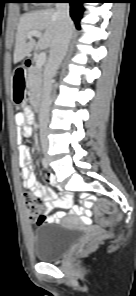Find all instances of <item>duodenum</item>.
Listing matches in <instances>:
<instances>
[{
  "label": "duodenum",
  "mask_w": 136,
  "mask_h": 296,
  "mask_svg": "<svg viewBox=\"0 0 136 296\" xmlns=\"http://www.w3.org/2000/svg\"><path fill=\"white\" fill-rule=\"evenodd\" d=\"M32 66V59L28 58L25 60L23 67H19L15 71V79L19 82H23L24 80V70L30 68Z\"/></svg>",
  "instance_id": "1"
}]
</instances>
